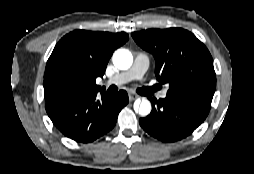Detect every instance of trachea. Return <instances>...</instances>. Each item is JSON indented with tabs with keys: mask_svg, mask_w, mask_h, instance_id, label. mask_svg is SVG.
<instances>
[{
	"mask_svg": "<svg viewBox=\"0 0 254 174\" xmlns=\"http://www.w3.org/2000/svg\"><path fill=\"white\" fill-rule=\"evenodd\" d=\"M158 89H159V86L143 87L138 89L137 92L141 95H151Z\"/></svg>",
	"mask_w": 254,
	"mask_h": 174,
	"instance_id": "1",
	"label": "trachea"
}]
</instances>
